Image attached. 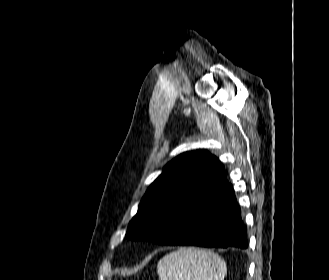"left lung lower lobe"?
Masks as SVG:
<instances>
[{"mask_svg": "<svg viewBox=\"0 0 329 280\" xmlns=\"http://www.w3.org/2000/svg\"><path fill=\"white\" fill-rule=\"evenodd\" d=\"M232 185L227 179L188 203L170 226L160 232L167 245L246 249L247 230Z\"/></svg>", "mask_w": 329, "mask_h": 280, "instance_id": "1", "label": "left lung lower lobe"}]
</instances>
